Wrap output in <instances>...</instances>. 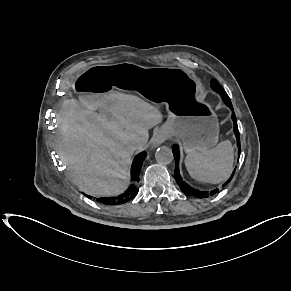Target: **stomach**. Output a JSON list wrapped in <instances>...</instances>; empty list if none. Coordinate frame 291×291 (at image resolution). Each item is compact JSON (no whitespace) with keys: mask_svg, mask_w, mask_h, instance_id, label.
Masks as SVG:
<instances>
[{"mask_svg":"<svg viewBox=\"0 0 291 291\" xmlns=\"http://www.w3.org/2000/svg\"><path fill=\"white\" fill-rule=\"evenodd\" d=\"M83 76L75 88L84 94L134 91L154 103L163 102L168 119L161 131L180 139L188 154L209 150L218 142L217 116L203 101L199 80L184 68L133 63L97 65Z\"/></svg>","mask_w":291,"mask_h":291,"instance_id":"obj_1","label":"stomach"}]
</instances>
